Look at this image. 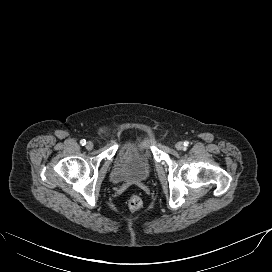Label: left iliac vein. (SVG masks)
Here are the masks:
<instances>
[{
  "label": "left iliac vein",
  "instance_id": "4c4485c4",
  "mask_svg": "<svg viewBox=\"0 0 272 272\" xmlns=\"http://www.w3.org/2000/svg\"><path fill=\"white\" fill-rule=\"evenodd\" d=\"M176 148H177L178 150H182V149L184 148L183 142H177V143H176Z\"/></svg>",
  "mask_w": 272,
  "mask_h": 272
}]
</instances>
